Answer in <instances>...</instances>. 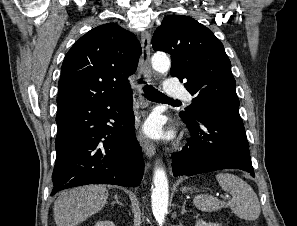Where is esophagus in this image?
Returning <instances> with one entry per match:
<instances>
[{"label": "esophagus", "mask_w": 297, "mask_h": 226, "mask_svg": "<svg viewBox=\"0 0 297 226\" xmlns=\"http://www.w3.org/2000/svg\"><path fill=\"white\" fill-rule=\"evenodd\" d=\"M150 39L151 35L148 31H143L141 33V47L142 53L140 58V67L145 73L146 78L150 81L151 78V63H150ZM139 99H142V91L138 90ZM138 141L148 157L155 155V147L153 143L146 138L142 133H138Z\"/></svg>", "instance_id": "34e87169"}]
</instances>
